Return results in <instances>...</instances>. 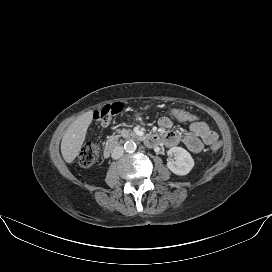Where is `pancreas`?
I'll use <instances>...</instances> for the list:
<instances>
[{
  "label": "pancreas",
  "instance_id": "1",
  "mask_svg": "<svg viewBox=\"0 0 272 272\" xmlns=\"http://www.w3.org/2000/svg\"><path fill=\"white\" fill-rule=\"evenodd\" d=\"M117 133H118V134L116 135V138L134 136V133H133V132H131L130 130H126V129L117 130Z\"/></svg>",
  "mask_w": 272,
  "mask_h": 272
}]
</instances>
